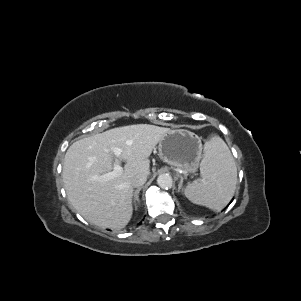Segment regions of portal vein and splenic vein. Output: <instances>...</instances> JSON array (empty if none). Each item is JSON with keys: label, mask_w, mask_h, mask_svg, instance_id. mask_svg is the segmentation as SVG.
Returning a JSON list of instances; mask_svg holds the SVG:
<instances>
[{"label": "portal vein and splenic vein", "mask_w": 301, "mask_h": 301, "mask_svg": "<svg viewBox=\"0 0 301 301\" xmlns=\"http://www.w3.org/2000/svg\"><path fill=\"white\" fill-rule=\"evenodd\" d=\"M114 155L116 156V161L113 167V171L105 173L101 175L99 178L103 181H108L120 175L122 173L123 168L120 166L119 157L121 156L122 150L120 148L114 147L112 148Z\"/></svg>", "instance_id": "1"}]
</instances>
